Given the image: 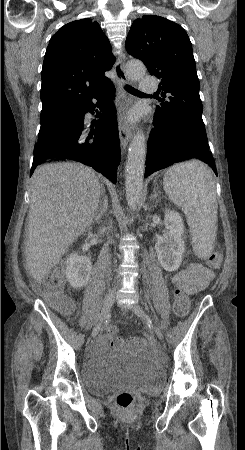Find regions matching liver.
I'll return each instance as SVG.
<instances>
[{
  "label": "liver",
  "instance_id": "obj_1",
  "mask_svg": "<svg viewBox=\"0 0 245 450\" xmlns=\"http://www.w3.org/2000/svg\"><path fill=\"white\" fill-rule=\"evenodd\" d=\"M102 184L81 163H51L38 167L30 189L26 266L41 282L72 243L94 222Z\"/></svg>",
  "mask_w": 245,
  "mask_h": 450
}]
</instances>
